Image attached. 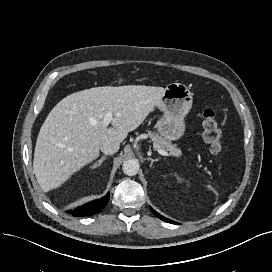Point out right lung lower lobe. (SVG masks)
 <instances>
[{"mask_svg": "<svg viewBox=\"0 0 272 272\" xmlns=\"http://www.w3.org/2000/svg\"><path fill=\"white\" fill-rule=\"evenodd\" d=\"M110 198V193H107L101 199H97L86 203L80 207H77L74 210H69L67 213L72 214L73 216H89L99 212L102 208H104Z\"/></svg>", "mask_w": 272, "mask_h": 272, "instance_id": "1", "label": "right lung lower lobe"}]
</instances>
